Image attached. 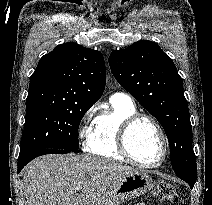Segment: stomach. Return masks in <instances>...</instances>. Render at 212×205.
Wrapping results in <instances>:
<instances>
[{
  "label": "stomach",
  "mask_w": 212,
  "mask_h": 205,
  "mask_svg": "<svg viewBox=\"0 0 212 205\" xmlns=\"http://www.w3.org/2000/svg\"><path fill=\"white\" fill-rule=\"evenodd\" d=\"M153 186L150 175L144 171L133 170L114 181L96 205H121L146 194Z\"/></svg>",
  "instance_id": "1"
}]
</instances>
